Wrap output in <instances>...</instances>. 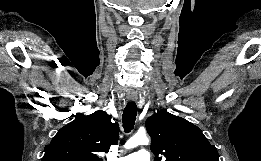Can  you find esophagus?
Segmentation results:
<instances>
[{
  "label": "esophagus",
  "instance_id": "obj_1",
  "mask_svg": "<svg viewBox=\"0 0 261 161\" xmlns=\"http://www.w3.org/2000/svg\"><path fill=\"white\" fill-rule=\"evenodd\" d=\"M126 98L130 102H134V101H136L138 99L136 94H131V93H128Z\"/></svg>",
  "mask_w": 261,
  "mask_h": 161
}]
</instances>
